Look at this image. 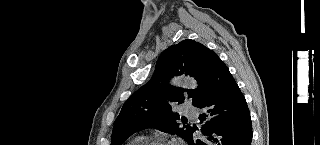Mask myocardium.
I'll return each mask as SVG.
<instances>
[{"label": "myocardium", "mask_w": 320, "mask_h": 145, "mask_svg": "<svg viewBox=\"0 0 320 145\" xmlns=\"http://www.w3.org/2000/svg\"><path fill=\"white\" fill-rule=\"evenodd\" d=\"M141 145H168L163 140H151V141H145Z\"/></svg>", "instance_id": "myocardium-1"}]
</instances>
